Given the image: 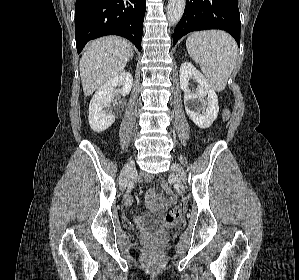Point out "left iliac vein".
Masks as SVG:
<instances>
[{"instance_id": "4c4485c4", "label": "left iliac vein", "mask_w": 299, "mask_h": 280, "mask_svg": "<svg viewBox=\"0 0 299 280\" xmlns=\"http://www.w3.org/2000/svg\"><path fill=\"white\" fill-rule=\"evenodd\" d=\"M171 172L177 174L182 181H186V174L185 172L177 165L173 164L171 167Z\"/></svg>"}]
</instances>
